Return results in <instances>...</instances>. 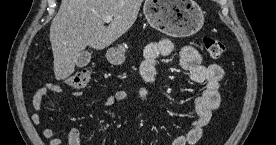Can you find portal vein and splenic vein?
<instances>
[{"label":"portal vein and splenic vein","instance_id":"portal-vein-and-splenic-vein-1","mask_svg":"<svg viewBox=\"0 0 276 145\" xmlns=\"http://www.w3.org/2000/svg\"><path fill=\"white\" fill-rule=\"evenodd\" d=\"M112 20H113V17H112V16H106V17L103 18V21H104L105 23H109V22H111Z\"/></svg>","mask_w":276,"mask_h":145}]
</instances>
